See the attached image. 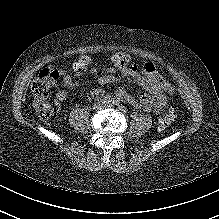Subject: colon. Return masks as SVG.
I'll return each instance as SVG.
<instances>
[{
	"mask_svg": "<svg viewBox=\"0 0 219 219\" xmlns=\"http://www.w3.org/2000/svg\"><path fill=\"white\" fill-rule=\"evenodd\" d=\"M60 75L53 67H46L40 71L31 84L33 107L37 115L44 121H50L55 116V109L49 102L52 87ZM175 120V113L170 109L160 122V130L168 129Z\"/></svg>",
	"mask_w": 219,
	"mask_h": 219,
	"instance_id": "obj_1",
	"label": "colon"
}]
</instances>
